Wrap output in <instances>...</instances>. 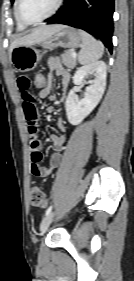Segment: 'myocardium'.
Returning <instances> with one entry per match:
<instances>
[{"mask_svg":"<svg viewBox=\"0 0 134 281\" xmlns=\"http://www.w3.org/2000/svg\"><path fill=\"white\" fill-rule=\"evenodd\" d=\"M64 3V0H57V3L55 5V7L53 8V10L48 13L46 16H44L43 18H40L38 20L35 21H29L27 19H25L23 17V15L21 14V0H16L15 3V15L17 17V19L25 26H34V25H38L41 24L42 22H45L46 20L50 19L51 17H53L62 7Z\"/></svg>","mask_w":134,"mask_h":281,"instance_id":"f54148a6","label":"myocardium"}]
</instances>
